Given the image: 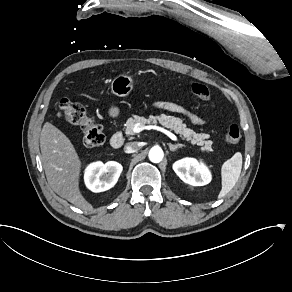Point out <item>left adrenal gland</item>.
<instances>
[{"mask_svg": "<svg viewBox=\"0 0 292 292\" xmlns=\"http://www.w3.org/2000/svg\"><path fill=\"white\" fill-rule=\"evenodd\" d=\"M167 145H169V148L172 152H175L177 151L178 149H182L184 148L185 146L183 145H173L172 143H168Z\"/></svg>", "mask_w": 292, "mask_h": 292, "instance_id": "left-adrenal-gland-1", "label": "left adrenal gland"}]
</instances>
